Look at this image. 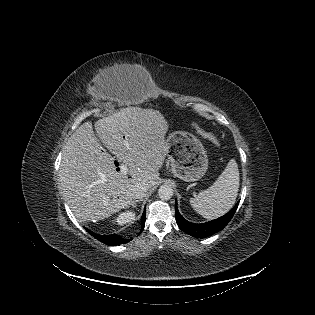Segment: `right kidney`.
Here are the masks:
<instances>
[{
  "label": "right kidney",
  "instance_id": "right-kidney-1",
  "mask_svg": "<svg viewBox=\"0 0 315 315\" xmlns=\"http://www.w3.org/2000/svg\"><path fill=\"white\" fill-rule=\"evenodd\" d=\"M135 218V213L131 211L122 212L118 215V217L114 220L119 225H124Z\"/></svg>",
  "mask_w": 315,
  "mask_h": 315
}]
</instances>
